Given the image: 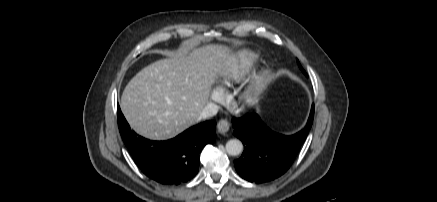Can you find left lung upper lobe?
Returning a JSON list of instances; mask_svg holds the SVG:
<instances>
[{"instance_id": "obj_1", "label": "left lung upper lobe", "mask_w": 437, "mask_h": 202, "mask_svg": "<svg viewBox=\"0 0 437 202\" xmlns=\"http://www.w3.org/2000/svg\"><path fill=\"white\" fill-rule=\"evenodd\" d=\"M298 65H299V67H300V69L302 70V72L306 75V73H305V71H304V69L301 67V65H300V63L298 62Z\"/></svg>"}]
</instances>
